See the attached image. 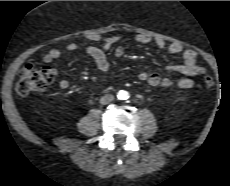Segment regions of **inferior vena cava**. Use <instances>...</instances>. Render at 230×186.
I'll use <instances>...</instances> for the list:
<instances>
[{"label": "inferior vena cava", "mask_w": 230, "mask_h": 186, "mask_svg": "<svg viewBox=\"0 0 230 186\" xmlns=\"http://www.w3.org/2000/svg\"><path fill=\"white\" fill-rule=\"evenodd\" d=\"M113 99H114V96L112 94H106V95L101 97L100 103L102 105H106V104H109L110 102H112Z\"/></svg>", "instance_id": "obj_1"}]
</instances>
